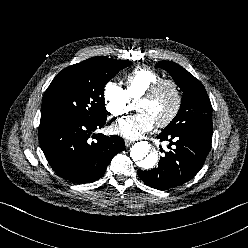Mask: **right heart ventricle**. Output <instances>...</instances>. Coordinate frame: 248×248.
I'll list each match as a JSON object with an SVG mask.
<instances>
[{"label":"right heart ventricle","mask_w":248,"mask_h":248,"mask_svg":"<svg viewBox=\"0 0 248 248\" xmlns=\"http://www.w3.org/2000/svg\"><path fill=\"white\" fill-rule=\"evenodd\" d=\"M163 76L146 66L137 67L124 78L125 91L131 101L135 102Z\"/></svg>","instance_id":"right-heart-ventricle-1"}]
</instances>
